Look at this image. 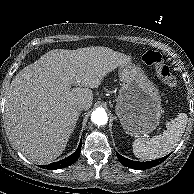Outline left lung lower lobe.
Listing matches in <instances>:
<instances>
[{
  "label": "left lung lower lobe",
  "instance_id": "1",
  "mask_svg": "<svg viewBox=\"0 0 194 194\" xmlns=\"http://www.w3.org/2000/svg\"><path fill=\"white\" fill-rule=\"evenodd\" d=\"M116 155H117L119 161L123 165H125L127 167H130V168H133V169H137V170H145V169L152 168L156 165H159L164 160H166V158H168L170 154L166 155L165 157H162V158H159V159H156V160H153V161H147V162L132 161V160L126 159L125 157L121 156L118 153H116Z\"/></svg>",
  "mask_w": 194,
  "mask_h": 194
}]
</instances>
